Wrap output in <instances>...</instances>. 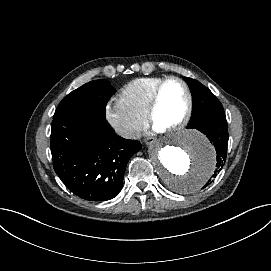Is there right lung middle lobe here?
<instances>
[{
    "label": "right lung middle lobe",
    "mask_w": 271,
    "mask_h": 271,
    "mask_svg": "<svg viewBox=\"0 0 271 271\" xmlns=\"http://www.w3.org/2000/svg\"><path fill=\"white\" fill-rule=\"evenodd\" d=\"M115 93L106 80L90 81L68 94L58 105L53 119L73 111L105 115L110 97Z\"/></svg>",
    "instance_id": "obj_1"
}]
</instances>
